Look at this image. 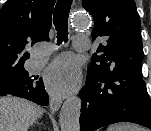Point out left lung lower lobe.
Masks as SVG:
<instances>
[{"instance_id":"0a47b994","label":"left lung lower lobe","mask_w":151,"mask_h":131,"mask_svg":"<svg viewBox=\"0 0 151 131\" xmlns=\"http://www.w3.org/2000/svg\"><path fill=\"white\" fill-rule=\"evenodd\" d=\"M137 67L110 78L87 74L80 91V129L94 131L117 122H132L151 129V101Z\"/></svg>"}]
</instances>
